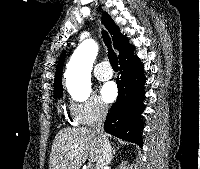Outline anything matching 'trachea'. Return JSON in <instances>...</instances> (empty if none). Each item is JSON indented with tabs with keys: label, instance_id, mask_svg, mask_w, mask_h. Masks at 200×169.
Wrapping results in <instances>:
<instances>
[{
	"label": "trachea",
	"instance_id": "obj_1",
	"mask_svg": "<svg viewBox=\"0 0 200 169\" xmlns=\"http://www.w3.org/2000/svg\"><path fill=\"white\" fill-rule=\"evenodd\" d=\"M102 38L104 40L105 45L108 48V58H109L110 64H111L113 70L117 71L119 69L118 58H117L116 53L114 52V50L111 47V40L106 31H102Z\"/></svg>",
	"mask_w": 200,
	"mask_h": 169
}]
</instances>
